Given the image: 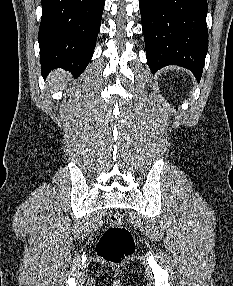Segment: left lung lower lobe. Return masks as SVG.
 <instances>
[{
	"instance_id": "obj_1",
	"label": "left lung lower lobe",
	"mask_w": 233,
	"mask_h": 286,
	"mask_svg": "<svg viewBox=\"0 0 233 286\" xmlns=\"http://www.w3.org/2000/svg\"><path fill=\"white\" fill-rule=\"evenodd\" d=\"M147 62L189 69L199 82L208 50L207 0H139Z\"/></svg>"
}]
</instances>
